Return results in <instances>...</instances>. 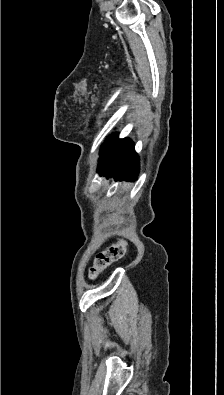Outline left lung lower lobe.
<instances>
[{
    "label": "left lung lower lobe",
    "instance_id": "obj_1",
    "mask_svg": "<svg viewBox=\"0 0 224 395\" xmlns=\"http://www.w3.org/2000/svg\"><path fill=\"white\" fill-rule=\"evenodd\" d=\"M138 171L139 160L132 141L126 138L118 139L117 135L107 139L100 153L99 174L135 180Z\"/></svg>",
    "mask_w": 224,
    "mask_h": 395
}]
</instances>
